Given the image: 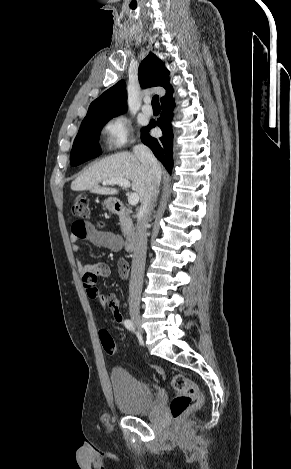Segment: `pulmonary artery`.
I'll return each instance as SVG.
<instances>
[{
  "instance_id": "1",
  "label": "pulmonary artery",
  "mask_w": 291,
  "mask_h": 469,
  "mask_svg": "<svg viewBox=\"0 0 291 469\" xmlns=\"http://www.w3.org/2000/svg\"><path fill=\"white\" fill-rule=\"evenodd\" d=\"M142 112L145 114V115H151L153 110H152V107L150 106V99L149 98H146L144 100V105L142 106Z\"/></svg>"
}]
</instances>
